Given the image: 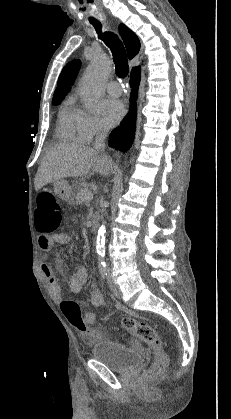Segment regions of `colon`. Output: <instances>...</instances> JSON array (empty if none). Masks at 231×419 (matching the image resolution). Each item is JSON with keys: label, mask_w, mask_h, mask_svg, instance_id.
<instances>
[{"label": "colon", "mask_w": 231, "mask_h": 419, "mask_svg": "<svg viewBox=\"0 0 231 419\" xmlns=\"http://www.w3.org/2000/svg\"><path fill=\"white\" fill-rule=\"evenodd\" d=\"M62 218V208L55 195L51 192L40 193L37 197L35 212L37 231L43 234L54 233L60 227ZM61 310L68 322L77 331L83 333L87 341H93L96 338V331L88 327L77 302L64 300L61 303ZM121 325L153 350L155 356L147 371V377L151 378L162 373L167 367L168 358L163 352L162 341L155 329L150 324L132 317H123Z\"/></svg>", "instance_id": "5ec220e1"}]
</instances>
